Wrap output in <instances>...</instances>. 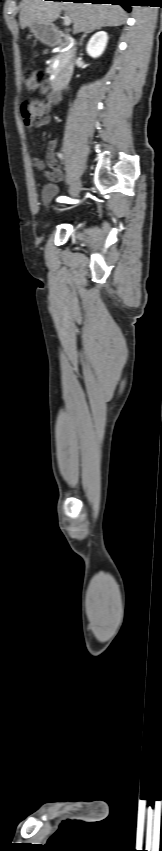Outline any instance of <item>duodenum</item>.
Here are the masks:
<instances>
[{"label":"duodenum","mask_w":162,"mask_h":851,"mask_svg":"<svg viewBox=\"0 0 162 851\" xmlns=\"http://www.w3.org/2000/svg\"><path fill=\"white\" fill-rule=\"evenodd\" d=\"M72 42H73V39L71 37H69L66 33L61 32V31L57 32L52 39V43H68V44H70ZM73 71H74L73 68L69 66L62 71V75L60 76V78H56L55 80H53V81L56 82L57 85H56L55 88H53V89L51 88L52 93H55V91L58 90V89H61V90L65 89V87L72 80L71 74L73 73Z\"/></svg>","instance_id":"duodenum-1"}]
</instances>
